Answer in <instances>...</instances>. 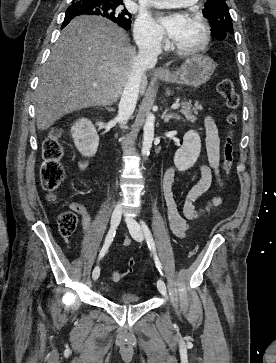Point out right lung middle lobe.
I'll return each mask as SVG.
<instances>
[{
	"mask_svg": "<svg viewBox=\"0 0 276 363\" xmlns=\"http://www.w3.org/2000/svg\"><path fill=\"white\" fill-rule=\"evenodd\" d=\"M119 2L104 0H74L66 11V16L73 14H87L102 16L116 22L119 26L128 29L131 25V15L126 9L121 10Z\"/></svg>",
	"mask_w": 276,
	"mask_h": 363,
	"instance_id": "obj_1",
	"label": "right lung middle lobe"
}]
</instances>
